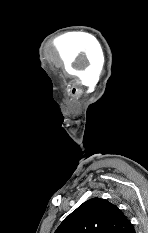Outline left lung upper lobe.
Here are the masks:
<instances>
[{"mask_svg":"<svg viewBox=\"0 0 148 233\" xmlns=\"http://www.w3.org/2000/svg\"><path fill=\"white\" fill-rule=\"evenodd\" d=\"M133 225L115 205L92 198L68 215L55 233H130Z\"/></svg>","mask_w":148,"mask_h":233,"instance_id":"left-lung-upper-lobe-1","label":"left lung upper lobe"}]
</instances>
